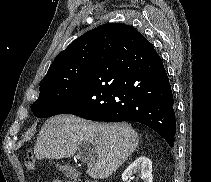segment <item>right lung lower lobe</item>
I'll list each match as a JSON object with an SVG mask.
<instances>
[{"label": "right lung lower lobe", "instance_id": "obj_1", "mask_svg": "<svg viewBox=\"0 0 211 182\" xmlns=\"http://www.w3.org/2000/svg\"><path fill=\"white\" fill-rule=\"evenodd\" d=\"M173 103L167 73L153 45L147 39L137 45L124 26L106 25L99 33L82 89L57 114L93 121L139 122L173 147Z\"/></svg>", "mask_w": 211, "mask_h": 182}]
</instances>
